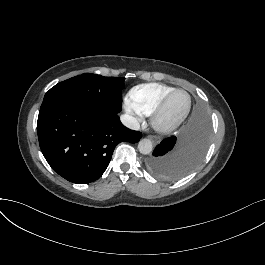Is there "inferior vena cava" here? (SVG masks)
<instances>
[{
  "instance_id": "obj_1",
  "label": "inferior vena cava",
  "mask_w": 265,
  "mask_h": 265,
  "mask_svg": "<svg viewBox=\"0 0 265 265\" xmlns=\"http://www.w3.org/2000/svg\"><path fill=\"white\" fill-rule=\"evenodd\" d=\"M121 122L123 123V125H125L126 127H128L131 130L138 131L140 129L139 122L131 115L124 114L121 117Z\"/></svg>"
}]
</instances>
